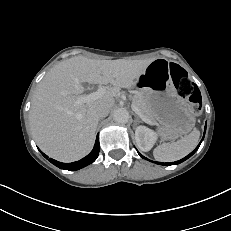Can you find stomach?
Masks as SVG:
<instances>
[{
	"label": "stomach",
	"mask_w": 231,
	"mask_h": 231,
	"mask_svg": "<svg viewBox=\"0 0 231 231\" xmlns=\"http://www.w3.org/2000/svg\"><path fill=\"white\" fill-rule=\"evenodd\" d=\"M135 87L149 104L164 140H175L194 127L193 104L177 93L166 60H153L135 80Z\"/></svg>",
	"instance_id": "stomach-1"
}]
</instances>
